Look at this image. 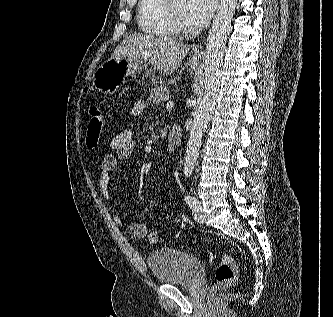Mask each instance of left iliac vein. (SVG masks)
I'll return each instance as SVG.
<instances>
[{"mask_svg":"<svg viewBox=\"0 0 333 317\" xmlns=\"http://www.w3.org/2000/svg\"><path fill=\"white\" fill-rule=\"evenodd\" d=\"M193 217L199 223L205 222V217L202 211V204L198 201L197 206L193 208Z\"/></svg>","mask_w":333,"mask_h":317,"instance_id":"obj_1","label":"left iliac vein"}]
</instances>
